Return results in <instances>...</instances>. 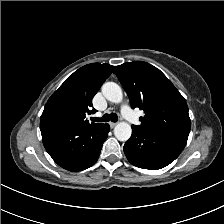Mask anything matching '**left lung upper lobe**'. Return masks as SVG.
Instances as JSON below:
<instances>
[{
    "mask_svg": "<svg viewBox=\"0 0 224 224\" xmlns=\"http://www.w3.org/2000/svg\"><path fill=\"white\" fill-rule=\"evenodd\" d=\"M117 75L132 108L145 113L135 128L165 134L187 142L191 122L184 97L156 67L143 61L116 66Z\"/></svg>",
    "mask_w": 224,
    "mask_h": 224,
    "instance_id": "5c2ea615",
    "label": "left lung upper lobe"
}]
</instances>
